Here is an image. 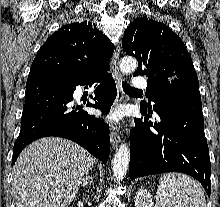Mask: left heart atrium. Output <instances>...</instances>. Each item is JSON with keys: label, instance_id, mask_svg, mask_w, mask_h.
I'll use <instances>...</instances> for the list:
<instances>
[{"label": "left heart atrium", "instance_id": "39dd6f15", "mask_svg": "<svg viewBox=\"0 0 220 207\" xmlns=\"http://www.w3.org/2000/svg\"><path fill=\"white\" fill-rule=\"evenodd\" d=\"M109 120L117 123L120 119V114L118 112H113L108 116Z\"/></svg>", "mask_w": 220, "mask_h": 207}]
</instances>
